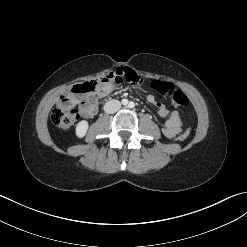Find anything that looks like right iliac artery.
Returning a JSON list of instances; mask_svg holds the SVG:
<instances>
[{"label":"right iliac artery","instance_id":"right-iliac-artery-1","mask_svg":"<svg viewBox=\"0 0 247 247\" xmlns=\"http://www.w3.org/2000/svg\"><path fill=\"white\" fill-rule=\"evenodd\" d=\"M121 102H122L123 105H127L128 104V100L127 99H123Z\"/></svg>","mask_w":247,"mask_h":247}]
</instances>
